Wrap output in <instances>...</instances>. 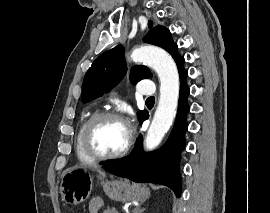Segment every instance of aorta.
Masks as SVG:
<instances>
[{
	"instance_id": "obj_1",
	"label": "aorta",
	"mask_w": 270,
	"mask_h": 213,
	"mask_svg": "<svg viewBox=\"0 0 270 213\" xmlns=\"http://www.w3.org/2000/svg\"><path fill=\"white\" fill-rule=\"evenodd\" d=\"M131 59L149 65L160 80L159 103L145 138L146 149L152 150L160 144L173 123L179 97V74L172 57L158 47L136 48Z\"/></svg>"
}]
</instances>
